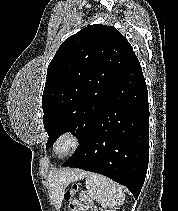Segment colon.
Returning <instances> with one entry per match:
<instances>
[{
  "mask_svg": "<svg viewBox=\"0 0 178 211\" xmlns=\"http://www.w3.org/2000/svg\"><path fill=\"white\" fill-rule=\"evenodd\" d=\"M78 190H79V186L75 184L72 186V190L66 192L64 195L65 200L68 202L69 211H78L73 199L74 193H76Z\"/></svg>",
  "mask_w": 178,
  "mask_h": 211,
  "instance_id": "1",
  "label": "colon"
}]
</instances>
